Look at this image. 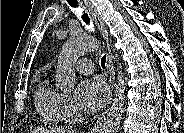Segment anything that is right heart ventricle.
<instances>
[{
  "mask_svg": "<svg viewBox=\"0 0 184 133\" xmlns=\"http://www.w3.org/2000/svg\"><path fill=\"white\" fill-rule=\"evenodd\" d=\"M60 100L61 94L48 79L40 82L35 94V104L38 112L50 123H58L63 120Z\"/></svg>",
  "mask_w": 184,
  "mask_h": 133,
  "instance_id": "1",
  "label": "right heart ventricle"
}]
</instances>
